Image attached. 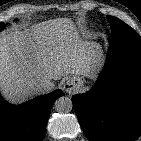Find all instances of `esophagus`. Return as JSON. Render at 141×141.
Instances as JSON below:
<instances>
[{"label":"esophagus","mask_w":141,"mask_h":141,"mask_svg":"<svg viewBox=\"0 0 141 141\" xmlns=\"http://www.w3.org/2000/svg\"><path fill=\"white\" fill-rule=\"evenodd\" d=\"M79 84H80V82H79L78 79H76V78H71V79H69V80L64 84V90H65L67 93L71 94V93H73V92L77 89V87L79 86Z\"/></svg>","instance_id":"34e87169"}]
</instances>
